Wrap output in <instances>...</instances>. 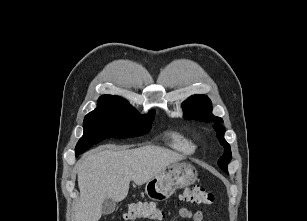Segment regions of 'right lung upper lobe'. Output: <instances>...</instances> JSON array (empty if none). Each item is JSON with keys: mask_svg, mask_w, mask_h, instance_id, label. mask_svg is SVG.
<instances>
[{"mask_svg": "<svg viewBox=\"0 0 307 221\" xmlns=\"http://www.w3.org/2000/svg\"><path fill=\"white\" fill-rule=\"evenodd\" d=\"M98 103H123L128 104V102L119 97V96H112V95H103L98 99Z\"/></svg>", "mask_w": 307, "mask_h": 221, "instance_id": "1", "label": "right lung upper lobe"}]
</instances>
